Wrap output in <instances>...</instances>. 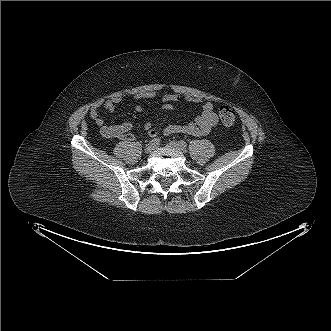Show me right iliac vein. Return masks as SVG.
Returning a JSON list of instances; mask_svg holds the SVG:
<instances>
[{"label": "right iliac vein", "mask_w": 331, "mask_h": 331, "mask_svg": "<svg viewBox=\"0 0 331 331\" xmlns=\"http://www.w3.org/2000/svg\"><path fill=\"white\" fill-rule=\"evenodd\" d=\"M152 150H153V147L151 145H147L144 149V152L149 154L152 152Z\"/></svg>", "instance_id": "obj_1"}]
</instances>
